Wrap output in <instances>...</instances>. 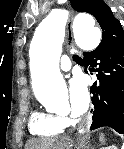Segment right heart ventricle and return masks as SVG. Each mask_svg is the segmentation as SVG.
Segmentation results:
<instances>
[{
    "label": "right heart ventricle",
    "instance_id": "obj_1",
    "mask_svg": "<svg viewBox=\"0 0 124 149\" xmlns=\"http://www.w3.org/2000/svg\"><path fill=\"white\" fill-rule=\"evenodd\" d=\"M65 126L61 118L51 112L34 111L30 116V133L42 139H50L60 135Z\"/></svg>",
    "mask_w": 124,
    "mask_h": 149
}]
</instances>
